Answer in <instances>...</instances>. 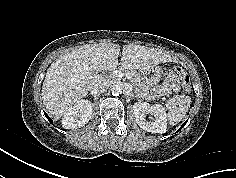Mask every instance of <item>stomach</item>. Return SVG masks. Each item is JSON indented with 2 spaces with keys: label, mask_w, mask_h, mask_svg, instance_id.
<instances>
[{
  "label": "stomach",
  "mask_w": 236,
  "mask_h": 178,
  "mask_svg": "<svg viewBox=\"0 0 236 178\" xmlns=\"http://www.w3.org/2000/svg\"><path fill=\"white\" fill-rule=\"evenodd\" d=\"M139 76L145 85L153 87L160 81L162 71L161 68L156 65L144 70H139Z\"/></svg>",
  "instance_id": "1"
}]
</instances>
